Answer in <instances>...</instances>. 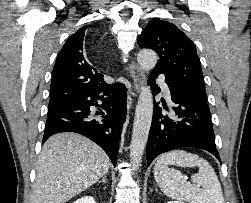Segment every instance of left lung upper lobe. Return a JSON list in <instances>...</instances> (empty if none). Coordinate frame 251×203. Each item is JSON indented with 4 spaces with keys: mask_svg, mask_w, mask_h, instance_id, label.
<instances>
[{
    "mask_svg": "<svg viewBox=\"0 0 251 203\" xmlns=\"http://www.w3.org/2000/svg\"><path fill=\"white\" fill-rule=\"evenodd\" d=\"M141 48L154 49L160 60L154 70L207 102L200 59L194 43L176 25L151 20L138 39Z\"/></svg>",
    "mask_w": 251,
    "mask_h": 203,
    "instance_id": "left-lung-upper-lobe-1",
    "label": "left lung upper lobe"
}]
</instances>
